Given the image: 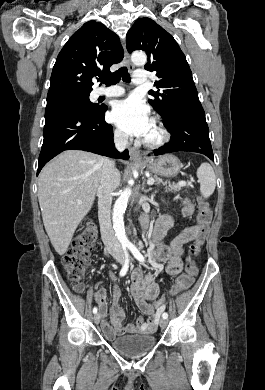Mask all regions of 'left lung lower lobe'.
<instances>
[{
    "label": "left lung lower lobe",
    "instance_id": "left-lung-lower-lobe-1",
    "mask_svg": "<svg viewBox=\"0 0 265 390\" xmlns=\"http://www.w3.org/2000/svg\"><path fill=\"white\" fill-rule=\"evenodd\" d=\"M164 126L171 133V139L163 147L155 149L153 155L189 151L204 154L214 161L209 128L200 102L177 107Z\"/></svg>",
    "mask_w": 265,
    "mask_h": 390
}]
</instances>
